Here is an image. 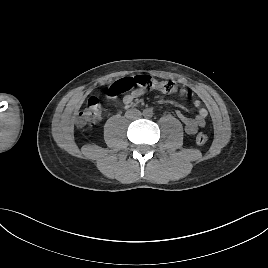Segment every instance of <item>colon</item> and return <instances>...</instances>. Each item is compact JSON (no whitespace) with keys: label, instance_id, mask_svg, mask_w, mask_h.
I'll return each instance as SVG.
<instances>
[{"label":"colon","instance_id":"5ec220e1","mask_svg":"<svg viewBox=\"0 0 268 268\" xmlns=\"http://www.w3.org/2000/svg\"><path fill=\"white\" fill-rule=\"evenodd\" d=\"M135 88H142L145 90L156 89L164 93H180L185 91L181 89L175 82L171 80L159 81L150 75H136L122 78L113 84L107 90V94L111 98H115L125 92ZM102 111L100 101L97 97H91L85 108L79 113L78 124L81 126H94L101 119ZM196 143L203 145L207 142L208 137L204 133L196 135Z\"/></svg>","mask_w":268,"mask_h":268}]
</instances>
